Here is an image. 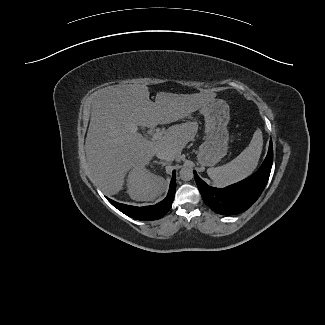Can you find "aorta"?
<instances>
[{
	"label": "aorta",
	"mask_w": 325,
	"mask_h": 325,
	"mask_svg": "<svg viewBox=\"0 0 325 325\" xmlns=\"http://www.w3.org/2000/svg\"><path fill=\"white\" fill-rule=\"evenodd\" d=\"M180 178L183 181H190L193 178V170L188 167H184L179 172Z\"/></svg>",
	"instance_id": "1"
}]
</instances>
